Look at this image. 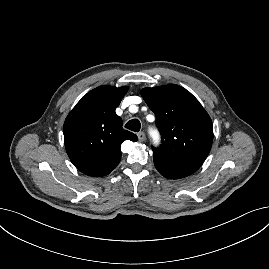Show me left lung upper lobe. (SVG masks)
Instances as JSON below:
<instances>
[{
  "label": "left lung upper lobe",
  "instance_id": "5c2ea615",
  "mask_svg": "<svg viewBox=\"0 0 269 269\" xmlns=\"http://www.w3.org/2000/svg\"><path fill=\"white\" fill-rule=\"evenodd\" d=\"M141 95L156 115L162 145L154 155L204 162L213 142L212 121L198 100L178 85L143 88Z\"/></svg>",
  "mask_w": 269,
  "mask_h": 269
}]
</instances>
